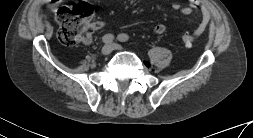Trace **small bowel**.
I'll return each instance as SVG.
<instances>
[{
    "label": "small bowel",
    "instance_id": "1",
    "mask_svg": "<svg viewBox=\"0 0 253 138\" xmlns=\"http://www.w3.org/2000/svg\"><path fill=\"white\" fill-rule=\"evenodd\" d=\"M62 2V0H44L43 4L45 6L51 7V6H56L59 5ZM172 8L173 10H175L176 12H179L183 15H189L194 11H198L199 8V1L198 0H190L189 4L187 6H183L180 3H173L172 4ZM156 9L159 11H164L165 8L162 4L157 3L156 4ZM202 12V21L199 25V27L197 28V30L195 31V33L200 34L201 32H203L206 28V26L209 23L210 20V11L207 7H202L201 9ZM104 24L100 21H95L93 22V28L95 30H99L101 28H103ZM167 27L164 23H158L156 25H154L152 31L154 34L157 35H161L163 33H165Z\"/></svg>",
    "mask_w": 253,
    "mask_h": 138
}]
</instances>
